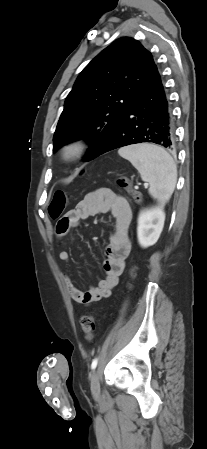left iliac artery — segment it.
I'll return each instance as SVG.
<instances>
[{
    "label": "left iliac artery",
    "instance_id": "1",
    "mask_svg": "<svg viewBox=\"0 0 207 449\" xmlns=\"http://www.w3.org/2000/svg\"><path fill=\"white\" fill-rule=\"evenodd\" d=\"M98 364V359L94 358L91 364V369L94 370Z\"/></svg>",
    "mask_w": 207,
    "mask_h": 449
}]
</instances>
